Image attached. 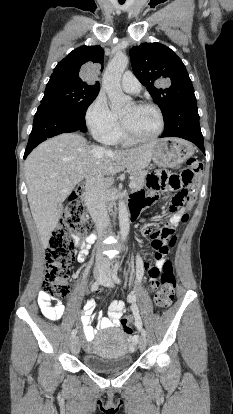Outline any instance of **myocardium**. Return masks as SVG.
Wrapping results in <instances>:
<instances>
[{"label": "myocardium", "instance_id": "1", "mask_svg": "<svg viewBox=\"0 0 233 414\" xmlns=\"http://www.w3.org/2000/svg\"><path fill=\"white\" fill-rule=\"evenodd\" d=\"M135 105L137 107H140V108H152V109H154L157 112L158 116H159V120H160L159 129L155 134H153L149 137H141V136L135 134L129 128V126L126 124V122L123 120V118L120 117V127H121L122 132L124 133V135L128 139H130L133 142H150V141H153V140L157 139L163 133V131L165 129V117H164V114H163L161 108L158 105H156L152 102H146V101L135 103Z\"/></svg>", "mask_w": 233, "mask_h": 414}]
</instances>
